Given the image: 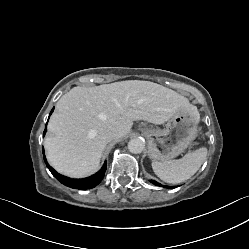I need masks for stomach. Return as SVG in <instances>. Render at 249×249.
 <instances>
[{
	"label": "stomach",
	"mask_w": 249,
	"mask_h": 249,
	"mask_svg": "<svg viewBox=\"0 0 249 249\" xmlns=\"http://www.w3.org/2000/svg\"><path fill=\"white\" fill-rule=\"evenodd\" d=\"M199 119L198 111L182 109L167 121L165 128L146 129L149 158L166 162L182 154L197 137Z\"/></svg>",
	"instance_id": "0dacf381"
}]
</instances>
